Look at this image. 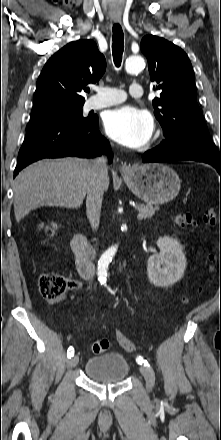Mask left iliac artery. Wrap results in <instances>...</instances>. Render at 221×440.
<instances>
[{"mask_svg":"<svg viewBox=\"0 0 221 440\" xmlns=\"http://www.w3.org/2000/svg\"><path fill=\"white\" fill-rule=\"evenodd\" d=\"M136 361L138 364H141V365L144 364L145 366H148V367L150 366L148 361L144 360L141 356L137 357Z\"/></svg>","mask_w":221,"mask_h":440,"instance_id":"obj_1","label":"left iliac artery"}]
</instances>
